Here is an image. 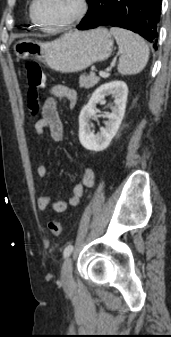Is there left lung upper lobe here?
I'll return each mask as SVG.
<instances>
[{
    "instance_id": "1",
    "label": "left lung upper lobe",
    "mask_w": 171,
    "mask_h": 337,
    "mask_svg": "<svg viewBox=\"0 0 171 337\" xmlns=\"http://www.w3.org/2000/svg\"><path fill=\"white\" fill-rule=\"evenodd\" d=\"M91 1H92V0H87L88 4H90V3H91Z\"/></svg>"
}]
</instances>
